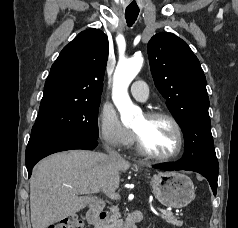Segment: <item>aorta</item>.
I'll use <instances>...</instances> for the list:
<instances>
[{
    "mask_svg": "<svg viewBox=\"0 0 238 228\" xmlns=\"http://www.w3.org/2000/svg\"><path fill=\"white\" fill-rule=\"evenodd\" d=\"M143 61L141 55L119 61L114 73L112 99L120 112L124 125H128L133 117L140 113V109L132 103L129 97L128 87L141 70Z\"/></svg>",
    "mask_w": 238,
    "mask_h": 228,
    "instance_id": "obj_1",
    "label": "aorta"
}]
</instances>
